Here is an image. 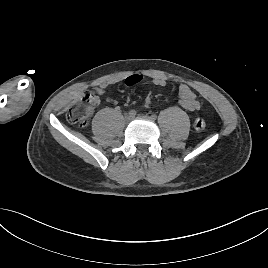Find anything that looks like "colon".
<instances>
[{"instance_id":"5ec220e1","label":"colon","mask_w":268,"mask_h":268,"mask_svg":"<svg viewBox=\"0 0 268 268\" xmlns=\"http://www.w3.org/2000/svg\"><path fill=\"white\" fill-rule=\"evenodd\" d=\"M98 103L99 98L94 93L85 92L80 100L67 108V120L79 127H85ZM193 127L196 131H203L206 127V122L202 118H196L193 122Z\"/></svg>"}]
</instances>
